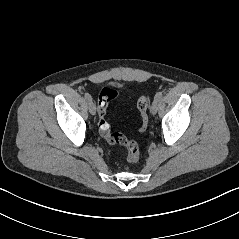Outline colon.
Returning a JSON list of instances; mask_svg holds the SVG:
<instances>
[{
  "mask_svg": "<svg viewBox=\"0 0 239 239\" xmlns=\"http://www.w3.org/2000/svg\"><path fill=\"white\" fill-rule=\"evenodd\" d=\"M117 96V92L112 88H104L98 97V127L100 134L110 144L121 145L127 149V161L134 164L139 159V146L138 144L128 139L125 135L119 132H113L110 129V125L106 119L107 107L109 102ZM149 101L146 97L142 96L139 98L137 107L141 116V127L140 131L146 130L148 125L147 110Z\"/></svg>",
  "mask_w": 239,
  "mask_h": 239,
  "instance_id": "5ec220e1",
  "label": "colon"
}]
</instances>
